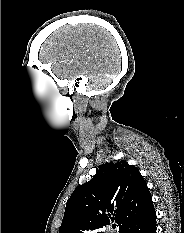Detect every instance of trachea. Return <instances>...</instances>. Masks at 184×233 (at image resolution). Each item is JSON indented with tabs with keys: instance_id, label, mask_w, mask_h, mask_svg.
I'll list each match as a JSON object with an SVG mask.
<instances>
[{
	"instance_id": "obj_1",
	"label": "trachea",
	"mask_w": 184,
	"mask_h": 233,
	"mask_svg": "<svg viewBox=\"0 0 184 233\" xmlns=\"http://www.w3.org/2000/svg\"><path fill=\"white\" fill-rule=\"evenodd\" d=\"M112 227H113V228H116V225H113Z\"/></svg>"
}]
</instances>
